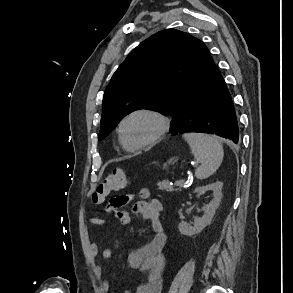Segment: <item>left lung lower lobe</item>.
<instances>
[{
    "instance_id": "left-lung-lower-lobe-1",
    "label": "left lung lower lobe",
    "mask_w": 293,
    "mask_h": 293,
    "mask_svg": "<svg viewBox=\"0 0 293 293\" xmlns=\"http://www.w3.org/2000/svg\"><path fill=\"white\" fill-rule=\"evenodd\" d=\"M173 134L203 132L239 142L236 113L226 83L215 63L202 87L184 104Z\"/></svg>"
}]
</instances>
